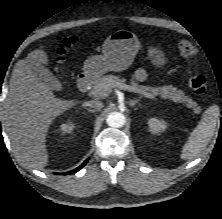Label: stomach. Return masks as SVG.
I'll return each mask as SVG.
<instances>
[{"label": "stomach", "instance_id": "0dacf381", "mask_svg": "<svg viewBox=\"0 0 222 219\" xmlns=\"http://www.w3.org/2000/svg\"><path fill=\"white\" fill-rule=\"evenodd\" d=\"M140 48L141 44L135 33L118 30L105 40L103 55L89 57L84 62L83 74L89 79H98L109 71H124L132 64ZM148 58L156 67L166 64L164 53L158 48L150 47Z\"/></svg>", "mask_w": 222, "mask_h": 219}]
</instances>
